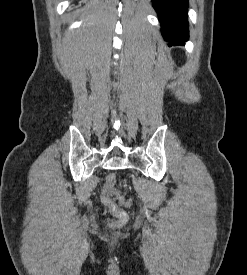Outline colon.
Here are the masks:
<instances>
[{
	"label": "colon",
	"instance_id": "obj_1",
	"mask_svg": "<svg viewBox=\"0 0 247 275\" xmlns=\"http://www.w3.org/2000/svg\"><path fill=\"white\" fill-rule=\"evenodd\" d=\"M116 178L114 175L110 174L106 178V186L103 188L101 193V198L103 203L110 209L112 214L115 216L116 221L113 223L114 227H120L127 223L128 214L123 209L119 208L116 202L113 199V196H118L119 199H122L118 195L117 191L114 189Z\"/></svg>",
	"mask_w": 247,
	"mask_h": 275
}]
</instances>
